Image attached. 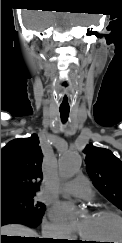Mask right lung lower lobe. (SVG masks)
Instances as JSON below:
<instances>
[{"mask_svg": "<svg viewBox=\"0 0 122 243\" xmlns=\"http://www.w3.org/2000/svg\"><path fill=\"white\" fill-rule=\"evenodd\" d=\"M42 222L41 218L36 217L33 214L28 212L1 208V226L11 223H19L24 224L29 227H36ZM25 241L29 243H53V241L49 240H39V239H26Z\"/></svg>", "mask_w": 122, "mask_h": 243, "instance_id": "1", "label": "right lung lower lobe"}]
</instances>
